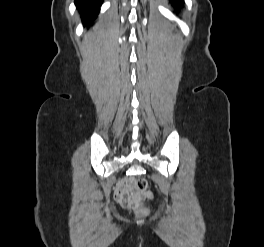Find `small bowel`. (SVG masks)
<instances>
[{"instance_id": "c3829d8e", "label": "small bowel", "mask_w": 264, "mask_h": 247, "mask_svg": "<svg viewBox=\"0 0 264 247\" xmlns=\"http://www.w3.org/2000/svg\"><path fill=\"white\" fill-rule=\"evenodd\" d=\"M131 179L125 178L119 181L115 187V196L120 202L119 198L123 195H129L133 192L130 186Z\"/></svg>"}]
</instances>
